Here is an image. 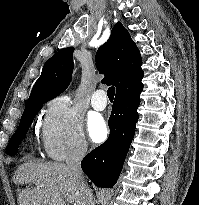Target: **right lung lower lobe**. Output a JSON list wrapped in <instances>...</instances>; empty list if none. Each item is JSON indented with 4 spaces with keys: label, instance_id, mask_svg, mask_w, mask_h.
Listing matches in <instances>:
<instances>
[{
    "label": "right lung lower lobe",
    "instance_id": "obj_1",
    "mask_svg": "<svg viewBox=\"0 0 199 205\" xmlns=\"http://www.w3.org/2000/svg\"><path fill=\"white\" fill-rule=\"evenodd\" d=\"M143 74L116 92L109 118L110 135L81 162V168L98 187L112 188L117 182L138 121L137 108L143 90Z\"/></svg>",
    "mask_w": 199,
    "mask_h": 205
}]
</instances>
